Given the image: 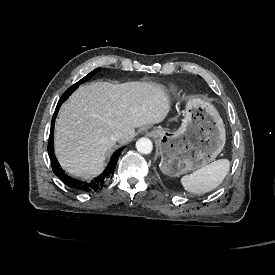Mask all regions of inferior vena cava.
Returning a JSON list of instances; mask_svg holds the SVG:
<instances>
[{
    "label": "inferior vena cava",
    "mask_w": 275,
    "mask_h": 275,
    "mask_svg": "<svg viewBox=\"0 0 275 275\" xmlns=\"http://www.w3.org/2000/svg\"><path fill=\"white\" fill-rule=\"evenodd\" d=\"M122 137V132L121 131H115L113 134L110 136V140L113 142L118 141Z\"/></svg>",
    "instance_id": "inferior-vena-cava-1"
}]
</instances>
